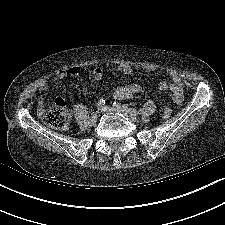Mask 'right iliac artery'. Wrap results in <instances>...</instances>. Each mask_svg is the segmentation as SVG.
<instances>
[{"mask_svg":"<svg viewBox=\"0 0 225 225\" xmlns=\"http://www.w3.org/2000/svg\"><path fill=\"white\" fill-rule=\"evenodd\" d=\"M104 106H105V100H104V99L98 100V102H97V108H98V109H101V108H103Z\"/></svg>","mask_w":225,"mask_h":225,"instance_id":"obj_1","label":"right iliac artery"}]
</instances>
